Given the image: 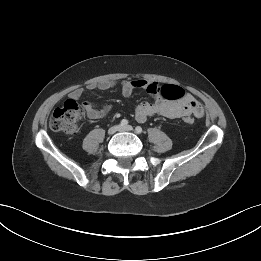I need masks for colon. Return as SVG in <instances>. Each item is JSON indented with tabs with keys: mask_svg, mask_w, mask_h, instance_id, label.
<instances>
[{
	"mask_svg": "<svg viewBox=\"0 0 261 261\" xmlns=\"http://www.w3.org/2000/svg\"><path fill=\"white\" fill-rule=\"evenodd\" d=\"M162 95L170 101L181 100L185 93L182 88L175 85H165L162 87ZM83 111L74 100H67L61 107L56 108L50 118V127L54 131L64 132L74 135L79 131V122ZM183 120L186 123H192V116H185Z\"/></svg>",
	"mask_w": 261,
	"mask_h": 261,
	"instance_id": "5ec220e1",
	"label": "colon"
}]
</instances>
